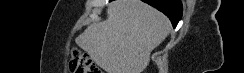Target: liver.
I'll return each mask as SVG.
<instances>
[{"label":"liver","mask_w":244,"mask_h":73,"mask_svg":"<svg viewBox=\"0 0 244 73\" xmlns=\"http://www.w3.org/2000/svg\"><path fill=\"white\" fill-rule=\"evenodd\" d=\"M107 19L88 26L76 44L106 73H142L151 52L169 34V19L140 0H118Z\"/></svg>","instance_id":"liver-1"}]
</instances>
